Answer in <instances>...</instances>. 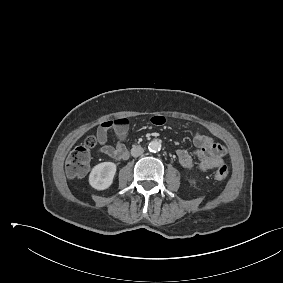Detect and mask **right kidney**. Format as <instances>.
I'll return each mask as SVG.
<instances>
[{"mask_svg":"<svg viewBox=\"0 0 283 283\" xmlns=\"http://www.w3.org/2000/svg\"><path fill=\"white\" fill-rule=\"evenodd\" d=\"M116 173V164L113 162H102L96 165L90 175L89 184L97 190H105L109 188Z\"/></svg>","mask_w":283,"mask_h":283,"instance_id":"obj_1","label":"right kidney"}]
</instances>
